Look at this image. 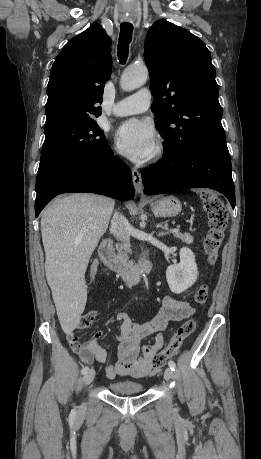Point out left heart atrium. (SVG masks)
<instances>
[{
	"label": "left heart atrium",
	"instance_id": "39dd6f15",
	"mask_svg": "<svg viewBox=\"0 0 261 459\" xmlns=\"http://www.w3.org/2000/svg\"><path fill=\"white\" fill-rule=\"evenodd\" d=\"M114 142L121 154L134 162H143L155 151L156 132L148 121L129 119L116 129Z\"/></svg>",
	"mask_w": 261,
	"mask_h": 459
}]
</instances>
